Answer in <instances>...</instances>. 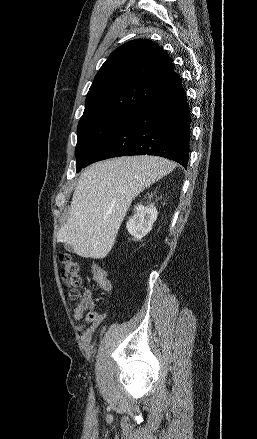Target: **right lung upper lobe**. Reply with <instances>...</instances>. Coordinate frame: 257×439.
Listing matches in <instances>:
<instances>
[{"instance_id":"cb5924a9","label":"right lung upper lobe","mask_w":257,"mask_h":439,"mask_svg":"<svg viewBox=\"0 0 257 439\" xmlns=\"http://www.w3.org/2000/svg\"><path fill=\"white\" fill-rule=\"evenodd\" d=\"M180 84L171 58L157 43L132 40L115 49L96 74L83 116H130Z\"/></svg>"}]
</instances>
